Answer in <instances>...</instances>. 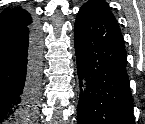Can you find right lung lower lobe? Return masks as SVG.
<instances>
[{
    "label": "right lung lower lobe",
    "instance_id": "1",
    "mask_svg": "<svg viewBox=\"0 0 145 124\" xmlns=\"http://www.w3.org/2000/svg\"><path fill=\"white\" fill-rule=\"evenodd\" d=\"M41 38L34 25L0 31V124H21L36 111Z\"/></svg>",
    "mask_w": 145,
    "mask_h": 124
}]
</instances>
